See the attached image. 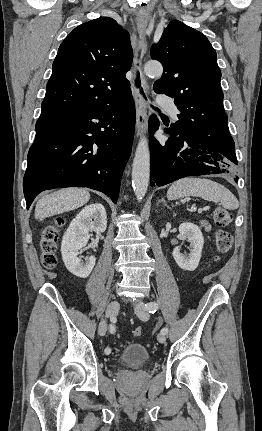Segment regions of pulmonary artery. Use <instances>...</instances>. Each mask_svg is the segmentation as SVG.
Masks as SVG:
<instances>
[{"mask_svg":"<svg viewBox=\"0 0 262 431\" xmlns=\"http://www.w3.org/2000/svg\"><path fill=\"white\" fill-rule=\"evenodd\" d=\"M158 105L162 108L167 109L169 112H171L175 116V118L177 117L176 116L177 110H176L171 98L164 96V95L159 96Z\"/></svg>","mask_w":262,"mask_h":431,"instance_id":"pulmonary-artery-1","label":"pulmonary artery"}]
</instances>
